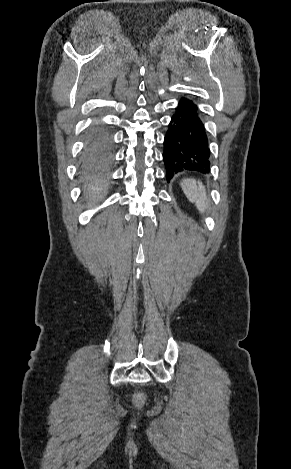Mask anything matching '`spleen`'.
Returning a JSON list of instances; mask_svg holds the SVG:
<instances>
[{"mask_svg": "<svg viewBox=\"0 0 291 469\" xmlns=\"http://www.w3.org/2000/svg\"><path fill=\"white\" fill-rule=\"evenodd\" d=\"M181 187L188 200L195 203L200 213L204 214L208 206V201L202 182H196L194 179H184L181 182Z\"/></svg>", "mask_w": 291, "mask_h": 469, "instance_id": "obj_1", "label": "spleen"}]
</instances>
